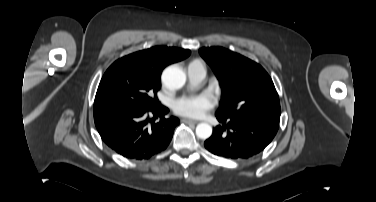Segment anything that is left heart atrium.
<instances>
[{
	"label": "left heart atrium",
	"mask_w": 376,
	"mask_h": 202,
	"mask_svg": "<svg viewBox=\"0 0 376 202\" xmlns=\"http://www.w3.org/2000/svg\"><path fill=\"white\" fill-rule=\"evenodd\" d=\"M215 104L214 98L209 93L183 96L175 101L174 111L182 116L198 118Z\"/></svg>",
	"instance_id": "left-heart-atrium-1"
}]
</instances>
